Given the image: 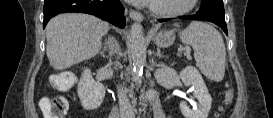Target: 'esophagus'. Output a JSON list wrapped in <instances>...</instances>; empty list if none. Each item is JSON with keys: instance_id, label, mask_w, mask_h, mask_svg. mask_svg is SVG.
<instances>
[{"instance_id": "34e87169", "label": "esophagus", "mask_w": 273, "mask_h": 118, "mask_svg": "<svg viewBox=\"0 0 273 118\" xmlns=\"http://www.w3.org/2000/svg\"><path fill=\"white\" fill-rule=\"evenodd\" d=\"M129 16L131 19L135 20V21H143L144 17L140 12L134 11V10H130L129 12Z\"/></svg>"}]
</instances>
